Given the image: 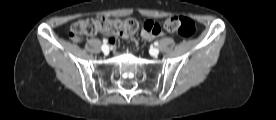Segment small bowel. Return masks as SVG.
I'll return each mask as SVG.
<instances>
[{"label": "small bowel", "instance_id": "small-bowel-1", "mask_svg": "<svg viewBox=\"0 0 276 120\" xmlns=\"http://www.w3.org/2000/svg\"><path fill=\"white\" fill-rule=\"evenodd\" d=\"M154 37H155V36L146 33L144 30L142 31V38H143V39H145V40H151V39H153ZM110 42L113 43L112 40H110Z\"/></svg>", "mask_w": 276, "mask_h": 120}]
</instances>
